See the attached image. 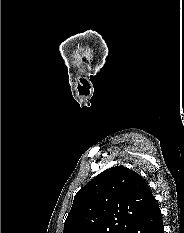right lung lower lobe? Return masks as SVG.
Here are the masks:
<instances>
[{"label":"right lung lower lobe","instance_id":"1","mask_svg":"<svg viewBox=\"0 0 184 233\" xmlns=\"http://www.w3.org/2000/svg\"><path fill=\"white\" fill-rule=\"evenodd\" d=\"M126 233H164L162 215L158 205L136 222Z\"/></svg>","mask_w":184,"mask_h":233}]
</instances>
